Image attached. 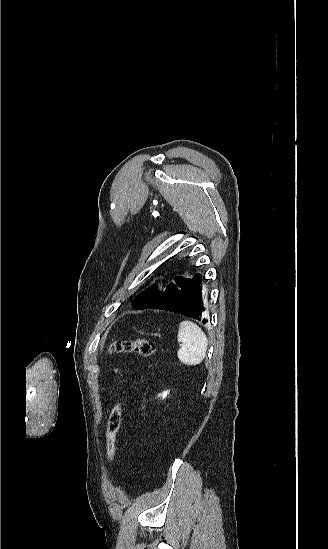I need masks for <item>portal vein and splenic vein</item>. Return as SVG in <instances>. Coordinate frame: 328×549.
I'll list each match as a JSON object with an SVG mask.
<instances>
[{"label":"portal vein and splenic vein","instance_id":"obj_1","mask_svg":"<svg viewBox=\"0 0 328 549\" xmlns=\"http://www.w3.org/2000/svg\"><path fill=\"white\" fill-rule=\"evenodd\" d=\"M180 347H183V344H180Z\"/></svg>","mask_w":328,"mask_h":549}]
</instances>
